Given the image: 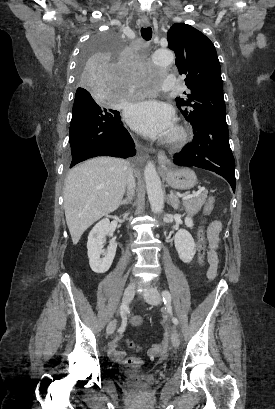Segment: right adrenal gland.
<instances>
[{
	"instance_id": "2a0ac1e0",
	"label": "right adrenal gland",
	"mask_w": 275,
	"mask_h": 409,
	"mask_svg": "<svg viewBox=\"0 0 275 409\" xmlns=\"http://www.w3.org/2000/svg\"><path fill=\"white\" fill-rule=\"evenodd\" d=\"M129 200H127V198H125V200H122V202H120V205H128Z\"/></svg>"
}]
</instances>
